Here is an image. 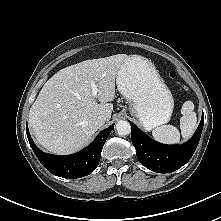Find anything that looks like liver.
Wrapping results in <instances>:
<instances>
[{"mask_svg":"<svg viewBox=\"0 0 221 221\" xmlns=\"http://www.w3.org/2000/svg\"><path fill=\"white\" fill-rule=\"evenodd\" d=\"M127 57L85 60L59 70L44 84L29 112V125L43 148L58 155L74 153L103 125L97 122L99 115L110 120L115 78ZM92 81L99 90L96 97Z\"/></svg>","mask_w":221,"mask_h":221,"instance_id":"1","label":"liver"}]
</instances>
